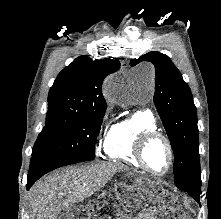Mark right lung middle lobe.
<instances>
[{
  "label": "right lung middle lobe",
  "instance_id": "dd1d6c3e",
  "mask_svg": "<svg viewBox=\"0 0 221 219\" xmlns=\"http://www.w3.org/2000/svg\"><path fill=\"white\" fill-rule=\"evenodd\" d=\"M104 113L105 109L85 112L49 108L45 127L35 142L32 155L45 151L80 162L93 160Z\"/></svg>",
  "mask_w": 221,
  "mask_h": 219
}]
</instances>
